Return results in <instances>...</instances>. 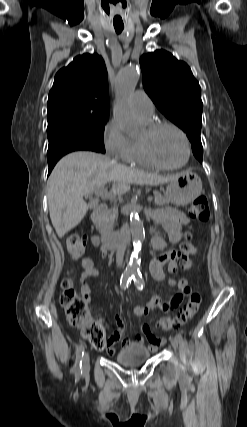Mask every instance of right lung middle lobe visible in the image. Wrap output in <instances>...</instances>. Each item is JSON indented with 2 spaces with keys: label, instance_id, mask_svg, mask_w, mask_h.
Returning <instances> with one entry per match:
<instances>
[{
  "label": "right lung middle lobe",
  "instance_id": "1",
  "mask_svg": "<svg viewBox=\"0 0 247 427\" xmlns=\"http://www.w3.org/2000/svg\"><path fill=\"white\" fill-rule=\"evenodd\" d=\"M109 109L65 108L47 114L48 140L74 138L96 147L104 153L103 132Z\"/></svg>",
  "mask_w": 247,
  "mask_h": 427
}]
</instances>
